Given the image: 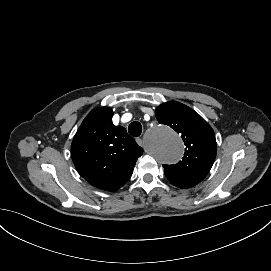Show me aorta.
Masks as SVG:
<instances>
[{"label": "aorta", "mask_w": 271, "mask_h": 271, "mask_svg": "<svg viewBox=\"0 0 271 271\" xmlns=\"http://www.w3.org/2000/svg\"><path fill=\"white\" fill-rule=\"evenodd\" d=\"M146 146L156 160L167 164L178 162L184 154L182 140L168 126H160L148 132Z\"/></svg>", "instance_id": "762f6f07"}]
</instances>
